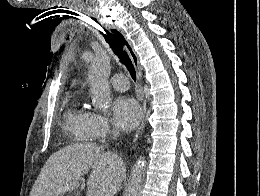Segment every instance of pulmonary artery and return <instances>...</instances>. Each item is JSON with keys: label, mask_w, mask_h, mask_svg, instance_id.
I'll return each instance as SVG.
<instances>
[{"label": "pulmonary artery", "mask_w": 260, "mask_h": 196, "mask_svg": "<svg viewBox=\"0 0 260 196\" xmlns=\"http://www.w3.org/2000/svg\"><path fill=\"white\" fill-rule=\"evenodd\" d=\"M127 83H128L127 76H113V79H106V84H127ZM109 89L124 91V90H128V85H110Z\"/></svg>", "instance_id": "obj_1"}]
</instances>
